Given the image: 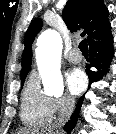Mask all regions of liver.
<instances>
[{"instance_id": "obj_1", "label": "liver", "mask_w": 116, "mask_h": 134, "mask_svg": "<svg viewBox=\"0 0 116 134\" xmlns=\"http://www.w3.org/2000/svg\"><path fill=\"white\" fill-rule=\"evenodd\" d=\"M18 134H36L34 132H29V131H21ZM38 134H55L54 131L52 129H47V130H42L40 133Z\"/></svg>"}]
</instances>
